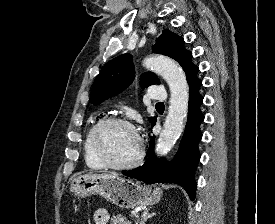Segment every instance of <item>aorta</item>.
Listing matches in <instances>:
<instances>
[{"instance_id": "aorta-1", "label": "aorta", "mask_w": 275, "mask_h": 224, "mask_svg": "<svg viewBox=\"0 0 275 224\" xmlns=\"http://www.w3.org/2000/svg\"><path fill=\"white\" fill-rule=\"evenodd\" d=\"M144 66L162 76L170 88V105L160 133L156 153L164 156L180 137L188 112L189 88L182 68L172 59L161 55L146 58Z\"/></svg>"}]
</instances>
